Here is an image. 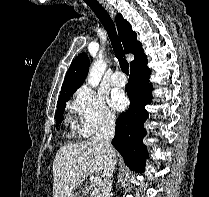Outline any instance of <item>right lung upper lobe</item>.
I'll return each mask as SVG.
<instances>
[{
  "label": "right lung upper lobe",
  "mask_w": 209,
  "mask_h": 197,
  "mask_svg": "<svg viewBox=\"0 0 209 197\" xmlns=\"http://www.w3.org/2000/svg\"><path fill=\"white\" fill-rule=\"evenodd\" d=\"M115 20L125 52L134 54V60L130 63L131 67L146 58V55L142 49V44L137 41L136 32L132 30L129 22L121 14H117ZM89 65L90 61L87 54L82 53L75 58L66 73L59 99L63 98L69 92L77 90L83 84L88 74Z\"/></svg>",
  "instance_id": "cb5924a9"
}]
</instances>
